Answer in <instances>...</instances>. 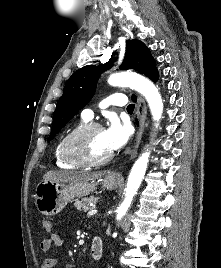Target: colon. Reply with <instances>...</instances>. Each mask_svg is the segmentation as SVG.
<instances>
[{"label":"colon","mask_w":221,"mask_h":268,"mask_svg":"<svg viewBox=\"0 0 221 268\" xmlns=\"http://www.w3.org/2000/svg\"><path fill=\"white\" fill-rule=\"evenodd\" d=\"M41 226L42 228L46 231V232H51L54 230V224L53 222L48 219V218H42L40 220Z\"/></svg>","instance_id":"1"}]
</instances>
